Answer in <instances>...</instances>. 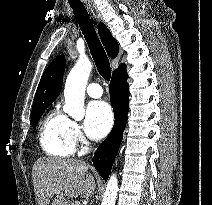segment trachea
<instances>
[{
    "label": "trachea",
    "instance_id": "trachea-1",
    "mask_svg": "<svg viewBox=\"0 0 212 205\" xmlns=\"http://www.w3.org/2000/svg\"><path fill=\"white\" fill-rule=\"evenodd\" d=\"M71 8L75 14L76 21L78 22L80 29L87 41L90 48L91 55L96 64L99 74L107 81L111 77V68L109 59L105 53V50L97 36L93 23L89 17L87 10L83 4H71Z\"/></svg>",
    "mask_w": 212,
    "mask_h": 205
}]
</instances>
